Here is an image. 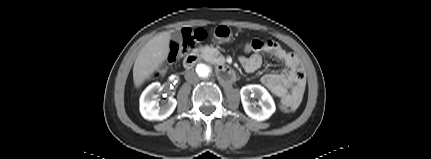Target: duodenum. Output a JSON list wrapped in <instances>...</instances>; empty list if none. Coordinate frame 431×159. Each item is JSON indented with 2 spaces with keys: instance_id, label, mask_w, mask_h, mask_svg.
Segmentation results:
<instances>
[{
  "instance_id": "duodenum-1",
  "label": "duodenum",
  "mask_w": 431,
  "mask_h": 159,
  "mask_svg": "<svg viewBox=\"0 0 431 159\" xmlns=\"http://www.w3.org/2000/svg\"><path fill=\"white\" fill-rule=\"evenodd\" d=\"M199 54L197 52H192L188 54L184 59V67L186 69L192 68L195 63L199 60ZM219 79L223 83H231L235 80V72L226 64H218Z\"/></svg>"
}]
</instances>
